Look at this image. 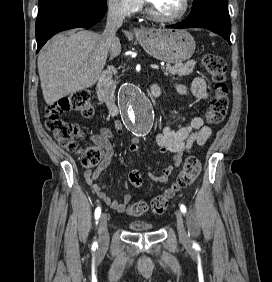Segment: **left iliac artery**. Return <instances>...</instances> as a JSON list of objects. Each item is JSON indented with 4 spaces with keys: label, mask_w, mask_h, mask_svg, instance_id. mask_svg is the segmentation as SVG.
I'll use <instances>...</instances> for the list:
<instances>
[{
    "label": "left iliac artery",
    "mask_w": 272,
    "mask_h": 282,
    "mask_svg": "<svg viewBox=\"0 0 272 282\" xmlns=\"http://www.w3.org/2000/svg\"><path fill=\"white\" fill-rule=\"evenodd\" d=\"M180 210H181L182 213L185 214V213H186V207H185V205L181 204V205H180Z\"/></svg>",
    "instance_id": "44dca946"
}]
</instances>
